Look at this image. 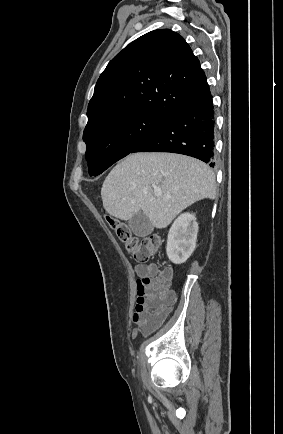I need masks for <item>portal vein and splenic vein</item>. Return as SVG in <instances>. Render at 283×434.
<instances>
[{
  "label": "portal vein and splenic vein",
  "instance_id": "obj_1",
  "mask_svg": "<svg viewBox=\"0 0 283 434\" xmlns=\"http://www.w3.org/2000/svg\"><path fill=\"white\" fill-rule=\"evenodd\" d=\"M154 195L156 196V197H159L160 195H161V191L158 189V190H155L154 191Z\"/></svg>",
  "mask_w": 283,
  "mask_h": 434
}]
</instances>
